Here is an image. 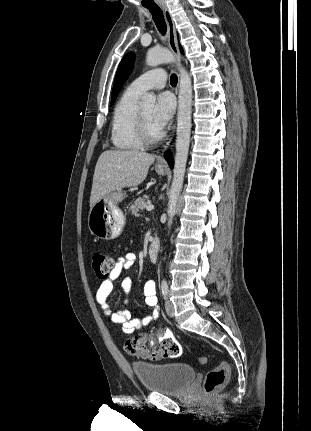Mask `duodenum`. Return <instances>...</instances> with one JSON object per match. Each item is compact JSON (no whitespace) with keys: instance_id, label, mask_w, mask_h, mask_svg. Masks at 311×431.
<instances>
[{"instance_id":"1","label":"duodenum","mask_w":311,"mask_h":431,"mask_svg":"<svg viewBox=\"0 0 311 431\" xmlns=\"http://www.w3.org/2000/svg\"><path fill=\"white\" fill-rule=\"evenodd\" d=\"M160 242L158 239H154L149 246L148 255L152 262H156L159 255Z\"/></svg>"}]
</instances>
